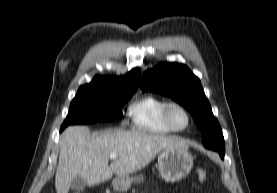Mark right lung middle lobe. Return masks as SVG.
<instances>
[{
    "instance_id": "1",
    "label": "right lung middle lobe",
    "mask_w": 277,
    "mask_h": 193,
    "mask_svg": "<svg viewBox=\"0 0 277 193\" xmlns=\"http://www.w3.org/2000/svg\"><path fill=\"white\" fill-rule=\"evenodd\" d=\"M134 92L107 93L79 89L61 127L113 121Z\"/></svg>"
}]
</instances>
